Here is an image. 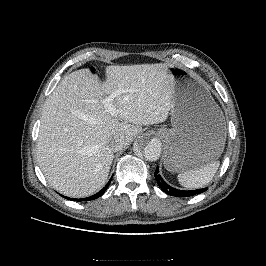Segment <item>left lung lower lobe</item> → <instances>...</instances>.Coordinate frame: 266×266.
Here are the masks:
<instances>
[{"mask_svg": "<svg viewBox=\"0 0 266 266\" xmlns=\"http://www.w3.org/2000/svg\"><path fill=\"white\" fill-rule=\"evenodd\" d=\"M155 179L158 183V185L160 186V188L162 189L163 192H165L168 195L171 196H176V197H190L196 194H200L205 192L208 188H202V189H197V190H189V191H184V190H178L175 189L171 186H169L161 177V175L159 174V170L158 167L156 168V171L154 173Z\"/></svg>", "mask_w": 266, "mask_h": 266, "instance_id": "1", "label": "left lung lower lobe"}]
</instances>
